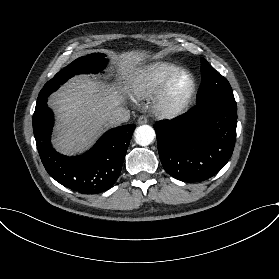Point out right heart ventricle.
<instances>
[{
	"mask_svg": "<svg viewBox=\"0 0 279 279\" xmlns=\"http://www.w3.org/2000/svg\"><path fill=\"white\" fill-rule=\"evenodd\" d=\"M185 70L172 62H153L137 70L130 84V92L138 98L151 97L179 71Z\"/></svg>",
	"mask_w": 279,
	"mask_h": 279,
	"instance_id": "e07e8e85",
	"label": "right heart ventricle"
}]
</instances>
